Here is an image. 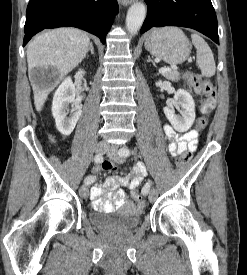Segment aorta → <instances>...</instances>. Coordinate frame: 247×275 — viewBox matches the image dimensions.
Instances as JSON below:
<instances>
[{"mask_svg":"<svg viewBox=\"0 0 247 275\" xmlns=\"http://www.w3.org/2000/svg\"><path fill=\"white\" fill-rule=\"evenodd\" d=\"M146 16V7L141 2H136L129 8L126 17V29L131 35H136L140 30Z\"/></svg>","mask_w":247,"mask_h":275,"instance_id":"aorta-1","label":"aorta"}]
</instances>
